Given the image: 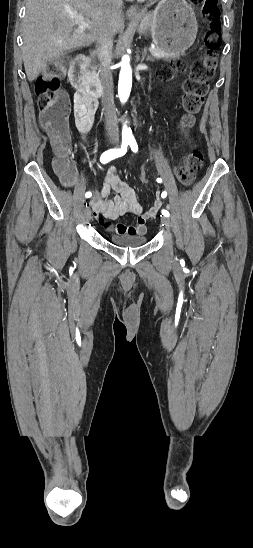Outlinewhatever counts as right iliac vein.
<instances>
[{"instance_id":"63e3f726","label":"right iliac vein","mask_w":253,"mask_h":548,"mask_svg":"<svg viewBox=\"0 0 253 548\" xmlns=\"http://www.w3.org/2000/svg\"><path fill=\"white\" fill-rule=\"evenodd\" d=\"M84 219L86 223H88L91 219V210L89 208L84 210Z\"/></svg>"}]
</instances>
